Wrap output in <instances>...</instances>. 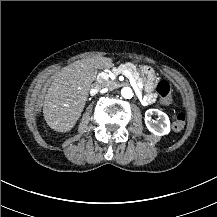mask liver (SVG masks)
<instances>
[{
	"label": "liver",
	"mask_w": 217,
	"mask_h": 217,
	"mask_svg": "<svg viewBox=\"0 0 217 217\" xmlns=\"http://www.w3.org/2000/svg\"><path fill=\"white\" fill-rule=\"evenodd\" d=\"M112 59L93 57L75 61L55 76L43 105L47 125L57 132L70 131L80 118L95 69L111 68Z\"/></svg>",
	"instance_id": "obj_1"
}]
</instances>
